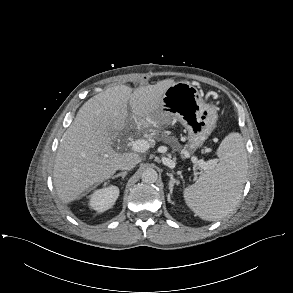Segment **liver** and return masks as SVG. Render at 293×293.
Listing matches in <instances>:
<instances>
[{"label": "liver", "mask_w": 293, "mask_h": 293, "mask_svg": "<svg viewBox=\"0 0 293 293\" xmlns=\"http://www.w3.org/2000/svg\"><path fill=\"white\" fill-rule=\"evenodd\" d=\"M168 79L132 91L125 85L110 87L85 102L62 136L53 169L59 199L68 204L84 191L109 179L126 157L139 163L137 153H117L112 140L126 126L128 104L139 126L148 128L157 115Z\"/></svg>", "instance_id": "6515ba94"}]
</instances>
